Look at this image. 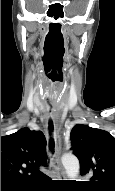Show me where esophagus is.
<instances>
[{"label": "esophagus", "mask_w": 115, "mask_h": 191, "mask_svg": "<svg viewBox=\"0 0 115 191\" xmlns=\"http://www.w3.org/2000/svg\"><path fill=\"white\" fill-rule=\"evenodd\" d=\"M54 140H55V145H56L55 156L53 159L55 173H56V176L58 179H65L66 178L65 171L60 162L61 140H60L59 129H58L57 125H55Z\"/></svg>", "instance_id": "esophagus-1"}]
</instances>
